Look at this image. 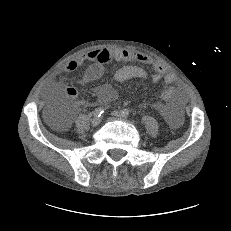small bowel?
I'll return each instance as SVG.
<instances>
[{"instance_id":"small-bowel-1","label":"small bowel","mask_w":231,"mask_h":231,"mask_svg":"<svg viewBox=\"0 0 231 231\" xmlns=\"http://www.w3.org/2000/svg\"><path fill=\"white\" fill-rule=\"evenodd\" d=\"M111 60L147 65L151 66L153 70V73L149 75L146 69L140 65L123 66L117 69L114 73L113 77L117 82H126L131 79H150L154 83L164 81L168 84L176 80V77L169 73L164 65L154 62L148 55L122 49H97L89 51L81 55L79 58L64 64L61 71L74 72L83 63L91 62V65L85 70L80 79V83L86 85L102 77L105 70V64ZM54 90H63L70 98H74L77 95L75 87H65L61 82L54 83ZM96 94L98 102L101 104L110 103L118 97L116 90L107 84L98 87ZM157 110L167 119L171 126L176 127L179 124V111L175 102H170L167 105L158 104ZM67 123L68 120L64 121L61 127H65Z\"/></svg>"}]
</instances>
